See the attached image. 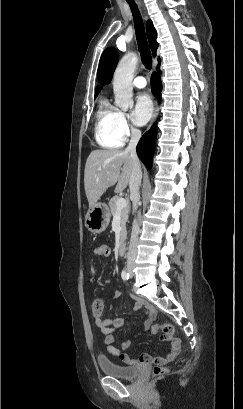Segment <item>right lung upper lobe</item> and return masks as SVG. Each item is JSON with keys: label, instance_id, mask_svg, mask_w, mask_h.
<instances>
[{"label": "right lung upper lobe", "instance_id": "obj_1", "mask_svg": "<svg viewBox=\"0 0 243 409\" xmlns=\"http://www.w3.org/2000/svg\"><path fill=\"white\" fill-rule=\"evenodd\" d=\"M146 28H147V36H148V41H149L151 50L153 52V55L156 56V50L158 47V43L156 41L157 32L151 20L147 21ZM118 58H119V55L115 48H107L103 52L100 58V61H99V66H98V71H97V79L99 83L108 84L111 81L113 73L117 65V62H118ZM101 89H102V86L96 87L95 96L99 94Z\"/></svg>", "mask_w": 243, "mask_h": 409}]
</instances>
